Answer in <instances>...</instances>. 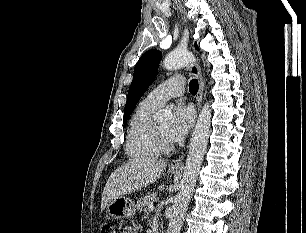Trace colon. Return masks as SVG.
Masks as SVG:
<instances>
[{"instance_id":"obj_1","label":"colon","mask_w":306,"mask_h":233,"mask_svg":"<svg viewBox=\"0 0 306 233\" xmlns=\"http://www.w3.org/2000/svg\"><path fill=\"white\" fill-rule=\"evenodd\" d=\"M100 233H115V229H114L113 225H111L109 223H104V224H102V226L100 228Z\"/></svg>"}]
</instances>
